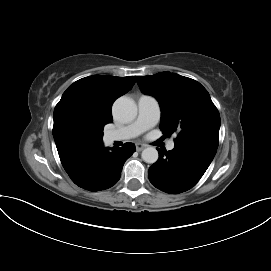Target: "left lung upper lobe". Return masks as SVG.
I'll list each match as a JSON object with an SVG mask.
<instances>
[{"label":"left lung upper lobe","instance_id":"5c2ea615","mask_svg":"<svg viewBox=\"0 0 271 271\" xmlns=\"http://www.w3.org/2000/svg\"><path fill=\"white\" fill-rule=\"evenodd\" d=\"M141 91L154 96L161 106L160 128L178 133L175 143L192 142L218 147L220 115L207 90L197 81L176 73L139 76Z\"/></svg>","mask_w":271,"mask_h":271}]
</instances>
